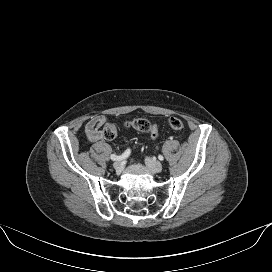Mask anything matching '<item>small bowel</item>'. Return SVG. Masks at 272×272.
I'll use <instances>...</instances> for the list:
<instances>
[{
	"label": "small bowel",
	"instance_id": "c3829d8e",
	"mask_svg": "<svg viewBox=\"0 0 272 272\" xmlns=\"http://www.w3.org/2000/svg\"><path fill=\"white\" fill-rule=\"evenodd\" d=\"M106 124H108V118L106 116H93L85 125V133L89 141H103L105 139L103 126Z\"/></svg>",
	"mask_w": 272,
	"mask_h": 272
}]
</instances>
